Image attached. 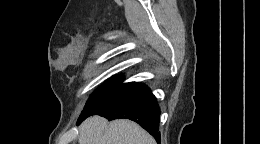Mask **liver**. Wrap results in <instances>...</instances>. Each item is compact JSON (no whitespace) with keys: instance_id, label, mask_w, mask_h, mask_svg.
Wrapping results in <instances>:
<instances>
[{"instance_id":"1","label":"liver","mask_w":260,"mask_h":144,"mask_svg":"<svg viewBox=\"0 0 260 144\" xmlns=\"http://www.w3.org/2000/svg\"><path fill=\"white\" fill-rule=\"evenodd\" d=\"M79 144H156L138 124L127 119L108 122L100 116L86 119L79 129Z\"/></svg>"}]
</instances>
